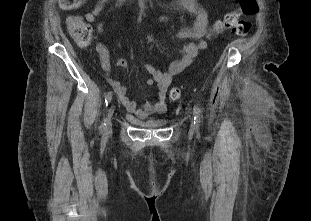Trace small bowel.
<instances>
[{
    "label": "small bowel",
    "instance_id": "1",
    "mask_svg": "<svg viewBox=\"0 0 311 221\" xmlns=\"http://www.w3.org/2000/svg\"><path fill=\"white\" fill-rule=\"evenodd\" d=\"M121 0H115L118 3ZM109 0H98L95 7L85 15L86 21L92 23L97 20L105 5ZM178 8L185 10L196 16V21L191 28H187L179 32V39H192L195 42H190L183 45L178 51V57L172 61L165 71H160L152 64H146L145 69L151 76V78L145 81L146 85L156 84L157 96L154 103L138 105L134 100H131L127 95L125 86L119 81H113L112 86L117 94L119 101L127 109V111L138 118H145L151 114H162L167 109L166 97L168 88L171 84L172 79L187 68L193 61V59L202 51L206 50L207 43L203 39L206 35L209 19L206 11L197 2V0H176ZM163 17L162 19H165ZM99 32L104 31V25L99 23L97 25ZM96 51L99 55L102 68L107 74L112 73V65L110 62L108 50L105 45L98 44ZM117 66L123 70H127V61L123 58L117 60Z\"/></svg>",
    "mask_w": 311,
    "mask_h": 221
}]
</instances>
